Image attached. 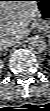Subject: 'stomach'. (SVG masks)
<instances>
[{
	"mask_svg": "<svg viewBox=\"0 0 50 111\" xmlns=\"http://www.w3.org/2000/svg\"><path fill=\"white\" fill-rule=\"evenodd\" d=\"M38 18L45 25L50 24V0H37Z\"/></svg>",
	"mask_w": 50,
	"mask_h": 111,
	"instance_id": "stomach-1",
	"label": "stomach"
}]
</instances>
